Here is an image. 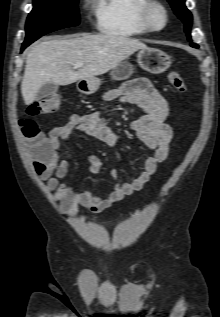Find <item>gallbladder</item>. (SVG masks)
Segmentation results:
<instances>
[{"label": "gallbladder", "instance_id": "gallbladder-1", "mask_svg": "<svg viewBox=\"0 0 220 317\" xmlns=\"http://www.w3.org/2000/svg\"><path fill=\"white\" fill-rule=\"evenodd\" d=\"M59 86L55 83H46L38 91L36 99H43L58 91Z\"/></svg>", "mask_w": 220, "mask_h": 317}]
</instances>
